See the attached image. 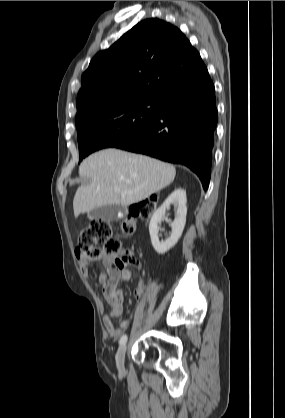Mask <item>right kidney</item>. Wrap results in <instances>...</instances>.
Returning a JSON list of instances; mask_svg holds the SVG:
<instances>
[{"instance_id":"obj_1","label":"right kidney","mask_w":285,"mask_h":418,"mask_svg":"<svg viewBox=\"0 0 285 418\" xmlns=\"http://www.w3.org/2000/svg\"><path fill=\"white\" fill-rule=\"evenodd\" d=\"M186 191L178 188L175 189L164 203L154 212L150 224L149 233L151 237V243L158 254H164L180 239L186 223L187 207H186ZM174 205L177 208L176 216L173 222H171L172 233L165 241H160L158 237L159 227L162 218L166 214V210Z\"/></svg>"}]
</instances>
